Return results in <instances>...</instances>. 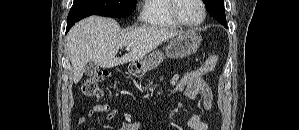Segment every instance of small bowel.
Returning a JSON list of instances; mask_svg holds the SVG:
<instances>
[{"label": "small bowel", "mask_w": 299, "mask_h": 130, "mask_svg": "<svg viewBox=\"0 0 299 130\" xmlns=\"http://www.w3.org/2000/svg\"><path fill=\"white\" fill-rule=\"evenodd\" d=\"M179 77V74L175 75L172 79V84H174ZM200 95L202 98L203 106L206 110H210L213 102V94L210 86L204 80L198 83L190 85L184 91V96L187 100L193 101L196 97ZM119 111L116 109H111L108 104H97L93 106L88 113L80 119V123H85L92 119L96 114H104L107 121L112 120L118 115ZM188 126L192 130H208V124L204 122L201 117L193 113L188 117ZM145 126L142 122H127L121 125L117 130H139Z\"/></svg>", "instance_id": "c3829d8e"}]
</instances>
